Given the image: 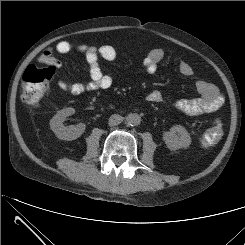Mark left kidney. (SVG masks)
I'll return each instance as SVG.
<instances>
[{"label":"left kidney","mask_w":245,"mask_h":245,"mask_svg":"<svg viewBox=\"0 0 245 245\" xmlns=\"http://www.w3.org/2000/svg\"><path fill=\"white\" fill-rule=\"evenodd\" d=\"M164 141L171 150L186 148L191 144V137L188 131L181 125L173 126L170 131L165 132Z\"/></svg>","instance_id":"left-kidney-1"}]
</instances>
